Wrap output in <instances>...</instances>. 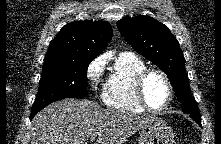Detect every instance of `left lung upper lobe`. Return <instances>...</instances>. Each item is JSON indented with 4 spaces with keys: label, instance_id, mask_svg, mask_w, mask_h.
I'll use <instances>...</instances> for the list:
<instances>
[{
    "label": "left lung upper lobe",
    "instance_id": "left-lung-upper-lobe-1",
    "mask_svg": "<svg viewBox=\"0 0 221 144\" xmlns=\"http://www.w3.org/2000/svg\"><path fill=\"white\" fill-rule=\"evenodd\" d=\"M117 26L128 44L167 75L184 113L192 119H201L191 96L183 53L170 30L157 20L141 15L122 18Z\"/></svg>",
    "mask_w": 221,
    "mask_h": 144
}]
</instances>
